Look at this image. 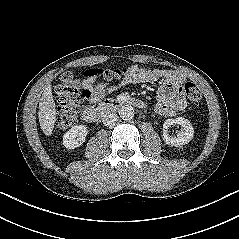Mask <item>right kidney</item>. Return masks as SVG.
Wrapping results in <instances>:
<instances>
[{
	"instance_id": "obj_1",
	"label": "right kidney",
	"mask_w": 239,
	"mask_h": 239,
	"mask_svg": "<svg viewBox=\"0 0 239 239\" xmlns=\"http://www.w3.org/2000/svg\"><path fill=\"white\" fill-rule=\"evenodd\" d=\"M87 134L86 125H75L64 134L63 144L68 149L77 148L85 142Z\"/></svg>"
}]
</instances>
